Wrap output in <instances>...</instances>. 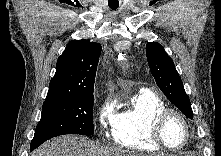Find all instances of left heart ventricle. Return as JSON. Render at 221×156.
<instances>
[{
    "instance_id": "1",
    "label": "left heart ventricle",
    "mask_w": 221,
    "mask_h": 156,
    "mask_svg": "<svg viewBox=\"0 0 221 156\" xmlns=\"http://www.w3.org/2000/svg\"><path fill=\"white\" fill-rule=\"evenodd\" d=\"M165 143L170 147H179L185 140L186 130L183 122L176 115H171L162 131Z\"/></svg>"
}]
</instances>
